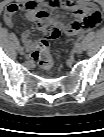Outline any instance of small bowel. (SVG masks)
<instances>
[{"mask_svg": "<svg viewBox=\"0 0 104 137\" xmlns=\"http://www.w3.org/2000/svg\"><path fill=\"white\" fill-rule=\"evenodd\" d=\"M42 8L65 9L72 12L76 20L68 25H64L60 17H53L51 19L54 24L61 26L64 33L69 36L78 35L94 28L102 18L99 7L90 2V0H27L9 4L4 12V23L8 27H12L15 24V14L21 10L26 12L28 20L37 21V13L45 11ZM83 20L86 21L81 23ZM21 39L32 56L33 43L30 40V32L28 30L23 31Z\"/></svg>", "mask_w": 104, "mask_h": 137, "instance_id": "c3829d8e", "label": "small bowel"}]
</instances>
